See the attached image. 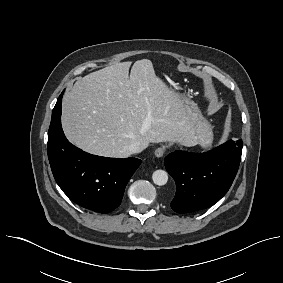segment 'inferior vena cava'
Masks as SVG:
<instances>
[{"instance_id": "obj_1", "label": "inferior vena cava", "mask_w": 283, "mask_h": 283, "mask_svg": "<svg viewBox=\"0 0 283 283\" xmlns=\"http://www.w3.org/2000/svg\"><path fill=\"white\" fill-rule=\"evenodd\" d=\"M128 149L133 154V153H139L143 151L145 147L141 145L139 142H133L130 144Z\"/></svg>"}]
</instances>
